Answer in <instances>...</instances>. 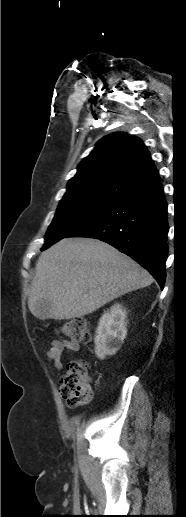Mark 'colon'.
Instances as JSON below:
<instances>
[{
    "label": "colon",
    "mask_w": 186,
    "mask_h": 517,
    "mask_svg": "<svg viewBox=\"0 0 186 517\" xmlns=\"http://www.w3.org/2000/svg\"><path fill=\"white\" fill-rule=\"evenodd\" d=\"M59 331L74 342H88L91 339L89 323L84 318L64 323ZM59 390L69 407L89 404L93 399V388L88 376V363L84 360L69 362L60 378Z\"/></svg>",
    "instance_id": "obj_1"
}]
</instances>
